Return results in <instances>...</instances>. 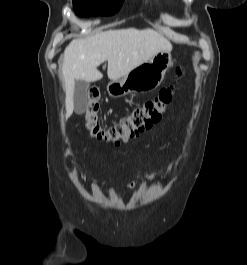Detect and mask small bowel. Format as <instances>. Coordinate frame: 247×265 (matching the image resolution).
<instances>
[{
  "mask_svg": "<svg viewBox=\"0 0 247 265\" xmlns=\"http://www.w3.org/2000/svg\"><path fill=\"white\" fill-rule=\"evenodd\" d=\"M146 177L148 178V180L152 181L156 179V175L152 172H147ZM134 186H135L134 183H131L129 187L134 188Z\"/></svg>",
  "mask_w": 247,
  "mask_h": 265,
  "instance_id": "1",
  "label": "small bowel"
}]
</instances>
